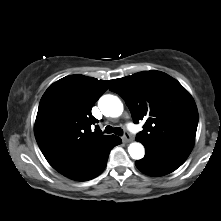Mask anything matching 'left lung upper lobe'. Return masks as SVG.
Instances as JSON below:
<instances>
[{"label": "left lung upper lobe", "instance_id": "left-lung-upper-lobe-1", "mask_svg": "<svg viewBox=\"0 0 221 221\" xmlns=\"http://www.w3.org/2000/svg\"><path fill=\"white\" fill-rule=\"evenodd\" d=\"M110 90L125 100L135 123L146 121L136 137L144 146L194 145L197 107L174 78L160 71H144L114 80Z\"/></svg>", "mask_w": 221, "mask_h": 221}]
</instances>
